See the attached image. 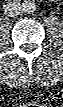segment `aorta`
I'll list each match as a JSON object with an SVG mask.
<instances>
[{"label":"aorta","mask_w":63,"mask_h":107,"mask_svg":"<svg viewBox=\"0 0 63 107\" xmlns=\"http://www.w3.org/2000/svg\"><path fill=\"white\" fill-rule=\"evenodd\" d=\"M37 9V5L34 0H25L22 3V10L25 13H33Z\"/></svg>","instance_id":"762f6f07"}]
</instances>
